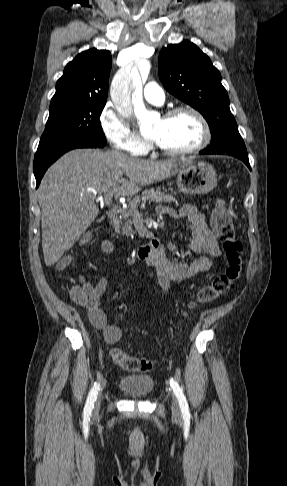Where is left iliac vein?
Returning a JSON list of instances; mask_svg holds the SVG:
<instances>
[{"label":"left iliac vein","mask_w":287,"mask_h":486,"mask_svg":"<svg viewBox=\"0 0 287 486\" xmlns=\"http://www.w3.org/2000/svg\"><path fill=\"white\" fill-rule=\"evenodd\" d=\"M172 412L175 418H180L181 409H180L178 399L175 396H173L172 398Z\"/></svg>","instance_id":"1"}]
</instances>
